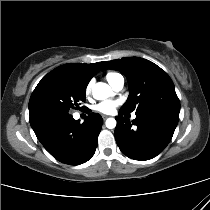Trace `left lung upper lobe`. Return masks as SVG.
Returning <instances> with one entry per match:
<instances>
[{"instance_id": "5c2ea615", "label": "left lung upper lobe", "mask_w": 210, "mask_h": 210, "mask_svg": "<svg viewBox=\"0 0 210 210\" xmlns=\"http://www.w3.org/2000/svg\"><path fill=\"white\" fill-rule=\"evenodd\" d=\"M103 68L119 70L128 78L130 95L120 109L123 112H180V101L171 78L153 62L138 57H125L103 62Z\"/></svg>"}]
</instances>
